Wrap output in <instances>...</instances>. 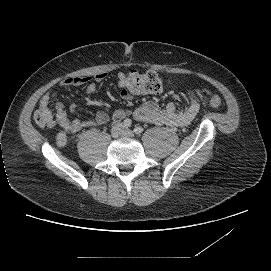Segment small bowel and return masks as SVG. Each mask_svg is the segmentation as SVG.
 Masks as SVG:
<instances>
[{"mask_svg": "<svg viewBox=\"0 0 271 271\" xmlns=\"http://www.w3.org/2000/svg\"><path fill=\"white\" fill-rule=\"evenodd\" d=\"M124 73H119L118 79L121 82L125 78ZM106 78L105 73H99L94 77H69L60 82L61 88L70 86L85 85V93L91 95L96 90V82H101ZM58 96L56 90H50L41 99L39 105V111L46 114L49 123L48 126H53L54 121L52 119L51 112L48 108L49 104L54 101ZM121 96L130 100L132 95L126 90L121 91ZM188 105L184 109H178L174 103H170L165 107H160L155 102H147L138 109H136L132 116L135 120L140 122L152 123L159 126H172V127H184L189 125L196 117L201 108L207 103L208 98L202 96L193 91L187 93ZM57 111V122L63 128L64 132H61L57 136V144L62 146L65 144L68 133H77L85 128L92 126L102 125L109 120V115L104 111H99L93 119L80 120L79 118L70 119L69 114L76 113V106L73 104L69 107V111L64 109L63 104L57 101L55 104ZM130 113L123 109H116L113 112V118L120 120Z\"/></svg>", "mask_w": 271, "mask_h": 271, "instance_id": "1", "label": "small bowel"}]
</instances>
